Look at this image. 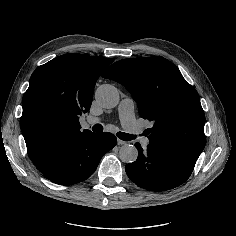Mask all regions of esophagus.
<instances>
[{"label":"esophagus","instance_id":"obj_1","mask_svg":"<svg viewBox=\"0 0 236 236\" xmlns=\"http://www.w3.org/2000/svg\"><path fill=\"white\" fill-rule=\"evenodd\" d=\"M117 143L118 145H124L126 142L121 139H117Z\"/></svg>","mask_w":236,"mask_h":236}]
</instances>
